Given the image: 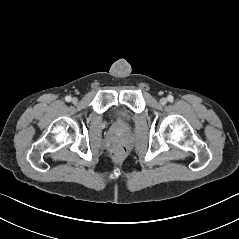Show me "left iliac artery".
Wrapping results in <instances>:
<instances>
[{
	"label": "left iliac artery",
	"instance_id": "1",
	"mask_svg": "<svg viewBox=\"0 0 239 239\" xmlns=\"http://www.w3.org/2000/svg\"><path fill=\"white\" fill-rule=\"evenodd\" d=\"M167 99H168L169 102H173V100H174L173 96H171V95H169V96L167 97Z\"/></svg>",
	"mask_w": 239,
	"mask_h": 239
}]
</instances>
